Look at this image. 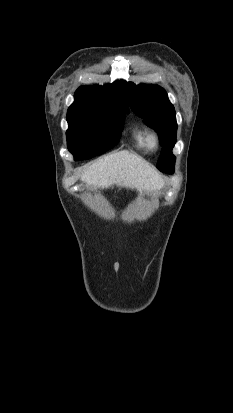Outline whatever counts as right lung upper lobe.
Returning a JSON list of instances; mask_svg holds the SVG:
<instances>
[{"label":"right lung upper lobe","mask_w":233,"mask_h":413,"mask_svg":"<svg viewBox=\"0 0 233 413\" xmlns=\"http://www.w3.org/2000/svg\"><path fill=\"white\" fill-rule=\"evenodd\" d=\"M121 90L122 81L107 86H81L76 90L74 97L81 100L122 103L128 108Z\"/></svg>","instance_id":"cb5924a9"}]
</instances>
